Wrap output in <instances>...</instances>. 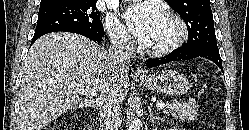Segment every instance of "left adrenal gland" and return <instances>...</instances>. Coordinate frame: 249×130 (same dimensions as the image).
Masks as SVG:
<instances>
[{
    "label": "left adrenal gland",
    "instance_id": "a2214340",
    "mask_svg": "<svg viewBox=\"0 0 249 130\" xmlns=\"http://www.w3.org/2000/svg\"><path fill=\"white\" fill-rule=\"evenodd\" d=\"M149 116H150V121L152 122V124H154L157 120H160V121L165 120L164 118H160L159 116H155V114L153 113L151 108L149 110Z\"/></svg>",
    "mask_w": 249,
    "mask_h": 130
}]
</instances>
